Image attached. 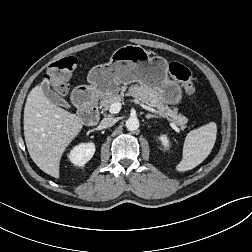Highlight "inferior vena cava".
<instances>
[{"label": "inferior vena cava", "mask_w": 252, "mask_h": 252, "mask_svg": "<svg viewBox=\"0 0 252 252\" xmlns=\"http://www.w3.org/2000/svg\"><path fill=\"white\" fill-rule=\"evenodd\" d=\"M116 123V120L114 118H103L100 122L101 128H108L113 126Z\"/></svg>", "instance_id": "602c4592"}]
</instances>
